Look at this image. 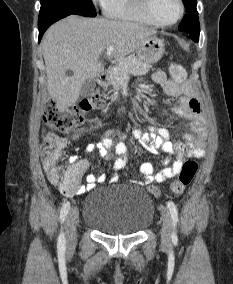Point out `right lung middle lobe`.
Wrapping results in <instances>:
<instances>
[{
    "label": "right lung middle lobe",
    "mask_w": 233,
    "mask_h": 284,
    "mask_svg": "<svg viewBox=\"0 0 233 284\" xmlns=\"http://www.w3.org/2000/svg\"><path fill=\"white\" fill-rule=\"evenodd\" d=\"M71 14L97 15L92 0H41L38 26L45 27Z\"/></svg>",
    "instance_id": "dd1d6c3e"
}]
</instances>
